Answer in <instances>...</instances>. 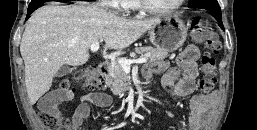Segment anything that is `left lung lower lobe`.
<instances>
[{
  "instance_id": "obj_1",
  "label": "left lung lower lobe",
  "mask_w": 257,
  "mask_h": 130,
  "mask_svg": "<svg viewBox=\"0 0 257 130\" xmlns=\"http://www.w3.org/2000/svg\"><path fill=\"white\" fill-rule=\"evenodd\" d=\"M210 14L212 16H214L215 18H217V20L219 21V24L221 26L222 29H224L223 23H222V18H221V9L219 10H209Z\"/></svg>"
}]
</instances>
